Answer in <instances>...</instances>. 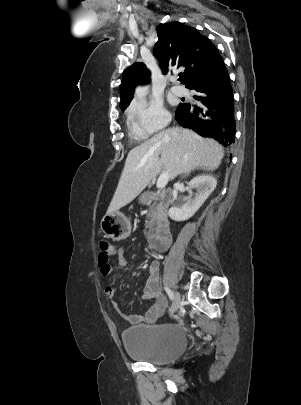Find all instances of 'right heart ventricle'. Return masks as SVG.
I'll return each instance as SVG.
<instances>
[{
	"label": "right heart ventricle",
	"instance_id": "right-heart-ventricle-1",
	"mask_svg": "<svg viewBox=\"0 0 301 405\" xmlns=\"http://www.w3.org/2000/svg\"><path fill=\"white\" fill-rule=\"evenodd\" d=\"M128 118H129V121H130V132H131L132 136L135 137V138H143L144 135H142L141 133L138 132V130L136 129V127L132 123V120L130 118L129 113H128Z\"/></svg>",
	"mask_w": 301,
	"mask_h": 405
}]
</instances>
